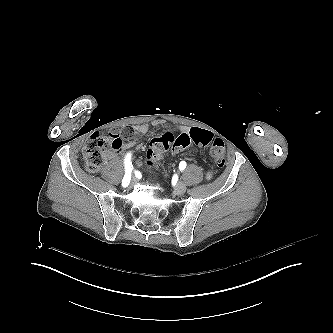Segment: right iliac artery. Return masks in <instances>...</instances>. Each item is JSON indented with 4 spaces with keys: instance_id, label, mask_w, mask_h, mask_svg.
I'll return each mask as SVG.
<instances>
[{
    "instance_id": "obj_1",
    "label": "right iliac artery",
    "mask_w": 333,
    "mask_h": 333,
    "mask_svg": "<svg viewBox=\"0 0 333 333\" xmlns=\"http://www.w3.org/2000/svg\"><path fill=\"white\" fill-rule=\"evenodd\" d=\"M130 154H127L125 157V176L122 180V186L126 187L128 186L130 179H131V170H132V163L130 162Z\"/></svg>"
}]
</instances>
